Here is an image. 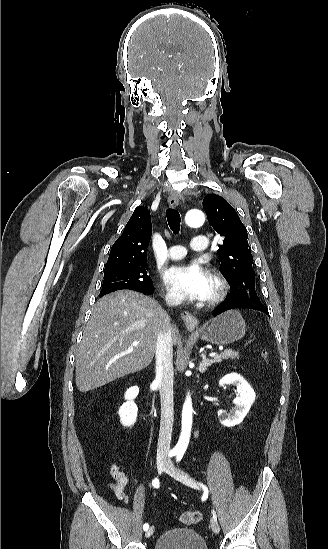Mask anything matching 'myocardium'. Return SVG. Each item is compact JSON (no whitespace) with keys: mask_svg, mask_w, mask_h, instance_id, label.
<instances>
[{"mask_svg":"<svg viewBox=\"0 0 328 549\" xmlns=\"http://www.w3.org/2000/svg\"><path fill=\"white\" fill-rule=\"evenodd\" d=\"M207 265L210 268H218L212 263H208ZM212 281L214 282L215 290L210 297L205 299V303L209 306H214L220 303L228 292V283L223 276H221L220 274H214L212 277Z\"/></svg>","mask_w":328,"mask_h":549,"instance_id":"myocardium-1","label":"myocardium"}]
</instances>
